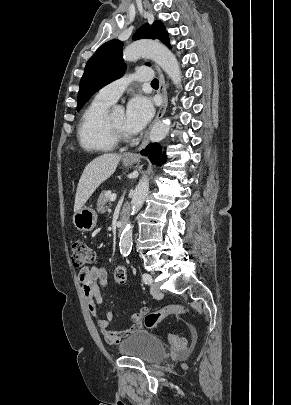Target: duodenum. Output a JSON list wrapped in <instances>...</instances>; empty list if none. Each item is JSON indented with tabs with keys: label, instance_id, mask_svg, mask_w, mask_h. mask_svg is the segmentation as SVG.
Instances as JSON below:
<instances>
[{
	"label": "duodenum",
	"instance_id": "1",
	"mask_svg": "<svg viewBox=\"0 0 291 405\" xmlns=\"http://www.w3.org/2000/svg\"><path fill=\"white\" fill-rule=\"evenodd\" d=\"M127 207H124V209L122 210L121 213V219H120V227H119V231L121 232L126 221H127Z\"/></svg>",
	"mask_w": 291,
	"mask_h": 405
}]
</instances>
